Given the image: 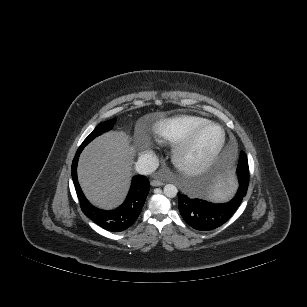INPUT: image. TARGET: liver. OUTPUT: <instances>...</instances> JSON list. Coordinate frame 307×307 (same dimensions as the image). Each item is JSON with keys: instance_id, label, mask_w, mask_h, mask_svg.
<instances>
[{"instance_id": "obj_1", "label": "liver", "mask_w": 307, "mask_h": 307, "mask_svg": "<svg viewBox=\"0 0 307 307\" xmlns=\"http://www.w3.org/2000/svg\"><path fill=\"white\" fill-rule=\"evenodd\" d=\"M134 156L135 148L123 131L106 133L86 146L78 163V179L92 204L112 209L124 200Z\"/></svg>"}]
</instances>
